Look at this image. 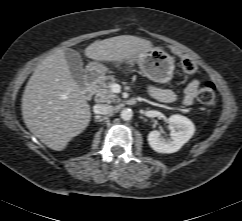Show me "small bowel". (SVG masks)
<instances>
[{"label":"small bowel","instance_id":"small-bowel-1","mask_svg":"<svg viewBox=\"0 0 242 221\" xmlns=\"http://www.w3.org/2000/svg\"><path fill=\"white\" fill-rule=\"evenodd\" d=\"M198 88L199 81L197 79H192L188 83L183 97V104L185 106H191L193 104ZM148 92L153 98L162 102H173L176 100V94L169 89H163L151 85L148 87Z\"/></svg>","mask_w":242,"mask_h":221}]
</instances>
